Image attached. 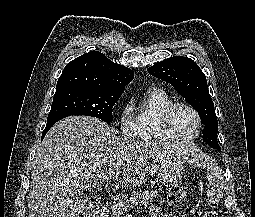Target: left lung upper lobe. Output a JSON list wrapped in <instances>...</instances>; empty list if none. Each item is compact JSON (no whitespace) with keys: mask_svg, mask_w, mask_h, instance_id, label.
Instances as JSON below:
<instances>
[{"mask_svg":"<svg viewBox=\"0 0 255 217\" xmlns=\"http://www.w3.org/2000/svg\"><path fill=\"white\" fill-rule=\"evenodd\" d=\"M148 72L170 83L199 114L205 125L203 141L220 150L217 142V117L207 80L200 67L190 58L174 56L158 62Z\"/></svg>","mask_w":255,"mask_h":217,"instance_id":"5c2ea615","label":"left lung upper lobe"}]
</instances>
